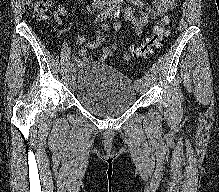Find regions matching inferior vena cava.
I'll list each match as a JSON object with an SVG mask.
<instances>
[{
	"instance_id": "obj_1",
	"label": "inferior vena cava",
	"mask_w": 219,
	"mask_h": 192,
	"mask_svg": "<svg viewBox=\"0 0 219 192\" xmlns=\"http://www.w3.org/2000/svg\"><path fill=\"white\" fill-rule=\"evenodd\" d=\"M99 1H102V2H104L105 0H99Z\"/></svg>"
}]
</instances>
